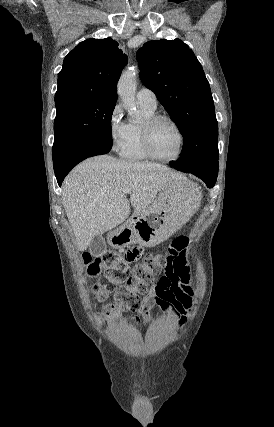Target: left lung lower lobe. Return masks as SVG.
Here are the masks:
<instances>
[{
	"label": "left lung lower lobe",
	"mask_w": 274,
	"mask_h": 427,
	"mask_svg": "<svg viewBox=\"0 0 274 427\" xmlns=\"http://www.w3.org/2000/svg\"><path fill=\"white\" fill-rule=\"evenodd\" d=\"M170 166L185 173H192L201 178L208 188H212L217 180L218 168L200 167L195 165L183 164L178 161L170 162Z\"/></svg>",
	"instance_id": "0a47b994"
}]
</instances>
